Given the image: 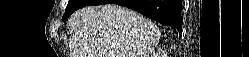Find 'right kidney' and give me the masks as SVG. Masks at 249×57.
Listing matches in <instances>:
<instances>
[{"label":"right kidney","mask_w":249,"mask_h":57,"mask_svg":"<svg viewBox=\"0 0 249 57\" xmlns=\"http://www.w3.org/2000/svg\"><path fill=\"white\" fill-rule=\"evenodd\" d=\"M164 53H156V55H154V57H163Z\"/></svg>","instance_id":"ca27d5eb"}]
</instances>
